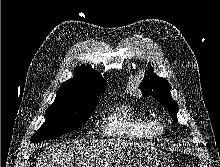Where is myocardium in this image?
I'll use <instances>...</instances> for the list:
<instances>
[{"label":"myocardium","mask_w":220,"mask_h":167,"mask_svg":"<svg viewBox=\"0 0 220 167\" xmlns=\"http://www.w3.org/2000/svg\"><path fill=\"white\" fill-rule=\"evenodd\" d=\"M152 128H153V131L156 135H161L165 130V126L157 120H155L153 122V127Z\"/></svg>","instance_id":"myocardium-1"}]
</instances>
